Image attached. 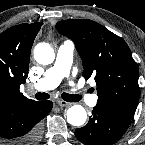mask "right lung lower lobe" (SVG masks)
<instances>
[{
    "label": "right lung lower lobe",
    "instance_id": "98d812e1",
    "mask_svg": "<svg viewBox=\"0 0 145 145\" xmlns=\"http://www.w3.org/2000/svg\"><path fill=\"white\" fill-rule=\"evenodd\" d=\"M51 101L0 106V139L9 145H35L41 137L40 121L51 111Z\"/></svg>",
    "mask_w": 145,
    "mask_h": 145
}]
</instances>
